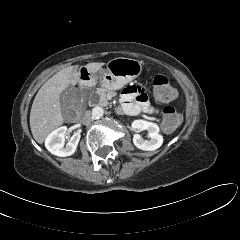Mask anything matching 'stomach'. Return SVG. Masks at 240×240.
<instances>
[{
  "instance_id": "stomach-1",
  "label": "stomach",
  "mask_w": 240,
  "mask_h": 240,
  "mask_svg": "<svg viewBox=\"0 0 240 240\" xmlns=\"http://www.w3.org/2000/svg\"><path fill=\"white\" fill-rule=\"evenodd\" d=\"M141 71V61L118 57L110 60L106 68L91 74V77L93 80H99L101 86L108 90H118L137 78Z\"/></svg>"
}]
</instances>
